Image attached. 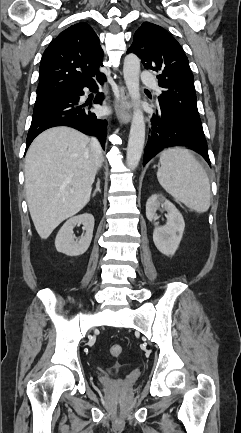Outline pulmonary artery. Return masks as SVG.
I'll use <instances>...</instances> for the list:
<instances>
[{
	"instance_id": "e3ab8cb5",
	"label": "pulmonary artery",
	"mask_w": 241,
	"mask_h": 433,
	"mask_svg": "<svg viewBox=\"0 0 241 433\" xmlns=\"http://www.w3.org/2000/svg\"><path fill=\"white\" fill-rule=\"evenodd\" d=\"M141 82L146 85H151L155 82V77L148 71H143L141 74Z\"/></svg>"
}]
</instances>
